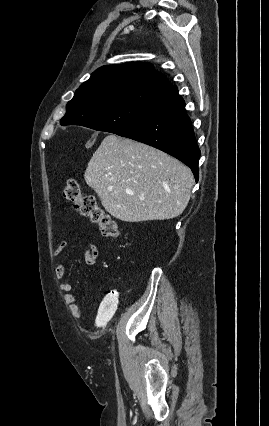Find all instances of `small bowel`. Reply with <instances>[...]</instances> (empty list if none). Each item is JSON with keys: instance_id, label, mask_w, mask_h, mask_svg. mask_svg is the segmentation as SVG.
<instances>
[{"instance_id": "1", "label": "small bowel", "mask_w": 269, "mask_h": 426, "mask_svg": "<svg viewBox=\"0 0 269 426\" xmlns=\"http://www.w3.org/2000/svg\"><path fill=\"white\" fill-rule=\"evenodd\" d=\"M68 241H62L57 249L55 250L54 254L57 256L59 255L67 246ZM98 258V249L97 246L89 241L86 243L85 246V253H84V259L85 263L88 266H92L96 263ZM66 273V267L63 263H58V265L55 268V276L58 280H60L59 283V289L64 293V302L65 304L70 308L72 314L74 316H81L82 315V309L81 307L76 303V297L74 294L71 293V284L63 280Z\"/></svg>"}]
</instances>
